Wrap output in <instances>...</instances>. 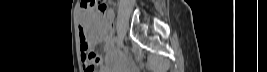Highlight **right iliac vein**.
<instances>
[{"label": "right iliac vein", "instance_id": "right-iliac-vein-1", "mask_svg": "<svg viewBox=\"0 0 267 72\" xmlns=\"http://www.w3.org/2000/svg\"><path fill=\"white\" fill-rule=\"evenodd\" d=\"M122 45H123L122 41H119L118 44H117V46H118L119 48L122 47Z\"/></svg>", "mask_w": 267, "mask_h": 72}]
</instances>
